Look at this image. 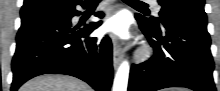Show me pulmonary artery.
Segmentation results:
<instances>
[{
  "mask_svg": "<svg viewBox=\"0 0 220 91\" xmlns=\"http://www.w3.org/2000/svg\"><path fill=\"white\" fill-rule=\"evenodd\" d=\"M148 2H150V3L155 5V11L158 13L159 12V6L157 5L156 1L149 0Z\"/></svg>",
  "mask_w": 220,
  "mask_h": 91,
  "instance_id": "pulmonary-artery-1",
  "label": "pulmonary artery"
}]
</instances>
